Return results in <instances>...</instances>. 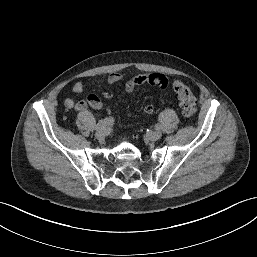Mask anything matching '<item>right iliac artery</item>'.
Here are the masks:
<instances>
[{"instance_id": "obj_1", "label": "right iliac artery", "mask_w": 257, "mask_h": 257, "mask_svg": "<svg viewBox=\"0 0 257 257\" xmlns=\"http://www.w3.org/2000/svg\"><path fill=\"white\" fill-rule=\"evenodd\" d=\"M114 123V119L113 117H109V118H105L103 120H100L96 126H95V130L98 131L100 129H105L107 126H110Z\"/></svg>"}]
</instances>
